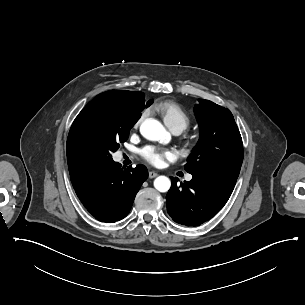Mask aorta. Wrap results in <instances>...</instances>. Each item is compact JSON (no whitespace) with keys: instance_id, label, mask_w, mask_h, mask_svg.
Here are the masks:
<instances>
[{"instance_id":"762f6f07","label":"aorta","mask_w":305,"mask_h":305,"mask_svg":"<svg viewBox=\"0 0 305 305\" xmlns=\"http://www.w3.org/2000/svg\"><path fill=\"white\" fill-rule=\"evenodd\" d=\"M142 136L151 141H159L167 137L164 126L156 119H146L140 126ZM154 187L159 192H167L171 187V181L166 176H159L154 180Z\"/></svg>"}]
</instances>
